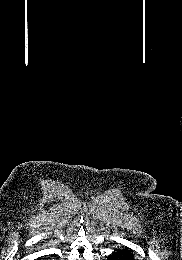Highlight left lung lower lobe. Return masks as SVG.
<instances>
[{"label":"left lung lower lobe","instance_id":"0a47b994","mask_svg":"<svg viewBox=\"0 0 182 260\" xmlns=\"http://www.w3.org/2000/svg\"><path fill=\"white\" fill-rule=\"evenodd\" d=\"M108 260H134V258L128 249H124L114 252L108 257Z\"/></svg>","mask_w":182,"mask_h":260}]
</instances>
